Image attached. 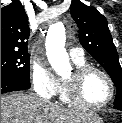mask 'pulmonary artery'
Returning <instances> with one entry per match:
<instances>
[{
	"mask_svg": "<svg viewBox=\"0 0 122 123\" xmlns=\"http://www.w3.org/2000/svg\"><path fill=\"white\" fill-rule=\"evenodd\" d=\"M69 55L72 60H81L84 58V52L79 47H72L69 49Z\"/></svg>",
	"mask_w": 122,
	"mask_h": 123,
	"instance_id": "pulmonary-artery-1",
	"label": "pulmonary artery"
}]
</instances>
